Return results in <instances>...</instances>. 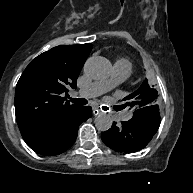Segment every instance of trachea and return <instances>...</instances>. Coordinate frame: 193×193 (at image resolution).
Wrapping results in <instances>:
<instances>
[{
  "instance_id": "1",
  "label": "trachea",
  "mask_w": 193,
  "mask_h": 193,
  "mask_svg": "<svg viewBox=\"0 0 193 193\" xmlns=\"http://www.w3.org/2000/svg\"><path fill=\"white\" fill-rule=\"evenodd\" d=\"M70 101L72 103L82 105V106L88 103V101L85 98H70ZM102 109L105 111L109 110L108 107L106 106H102ZM113 109L118 111V108L116 106H114Z\"/></svg>"
}]
</instances>
